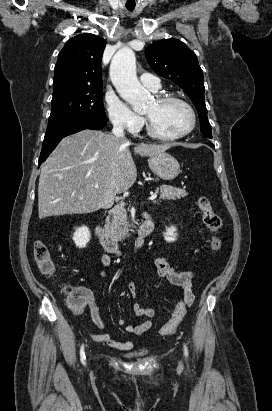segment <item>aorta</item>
<instances>
[{
    "mask_svg": "<svg viewBox=\"0 0 272 411\" xmlns=\"http://www.w3.org/2000/svg\"><path fill=\"white\" fill-rule=\"evenodd\" d=\"M110 77L120 96L135 110L144 106L149 94L137 79L133 50L124 47L117 51L110 64Z\"/></svg>",
    "mask_w": 272,
    "mask_h": 411,
    "instance_id": "obj_1",
    "label": "aorta"
}]
</instances>
